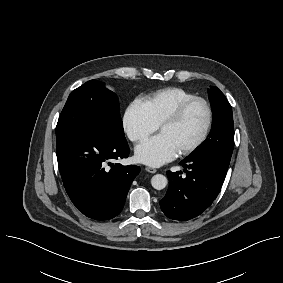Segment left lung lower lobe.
I'll return each mask as SVG.
<instances>
[{
	"label": "left lung lower lobe",
	"instance_id": "0a47b994",
	"mask_svg": "<svg viewBox=\"0 0 283 283\" xmlns=\"http://www.w3.org/2000/svg\"><path fill=\"white\" fill-rule=\"evenodd\" d=\"M180 164L186 176L167 171L169 188L160 207L168 218L186 221L200 215L215 200L229 163L213 156H189Z\"/></svg>",
	"mask_w": 283,
	"mask_h": 283
}]
</instances>
